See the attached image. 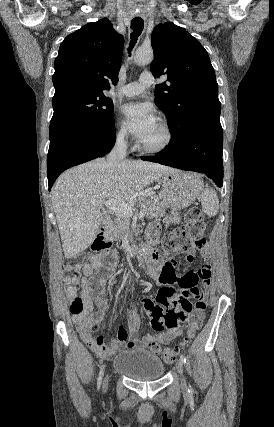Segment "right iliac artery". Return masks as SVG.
Masks as SVG:
<instances>
[{"instance_id":"obj_1","label":"right iliac artery","mask_w":274,"mask_h":427,"mask_svg":"<svg viewBox=\"0 0 274 427\" xmlns=\"http://www.w3.org/2000/svg\"><path fill=\"white\" fill-rule=\"evenodd\" d=\"M103 376H104V366H101L99 376H98V380H97L98 389L101 386Z\"/></svg>"}]
</instances>
